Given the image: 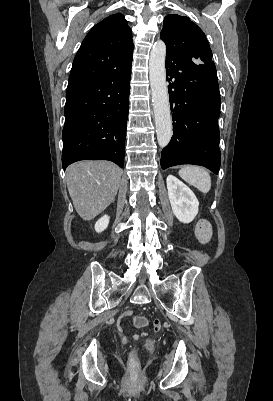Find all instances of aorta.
Listing matches in <instances>:
<instances>
[{
	"label": "aorta",
	"instance_id": "762f6f07",
	"mask_svg": "<svg viewBox=\"0 0 273 401\" xmlns=\"http://www.w3.org/2000/svg\"><path fill=\"white\" fill-rule=\"evenodd\" d=\"M166 45L163 41L155 42L150 53L149 77L152 92L157 141L160 147H166L173 135L170 114L169 95L166 83Z\"/></svg>",
	"mask_w": 273,
	"mask_h": 401
}]
</instances>
